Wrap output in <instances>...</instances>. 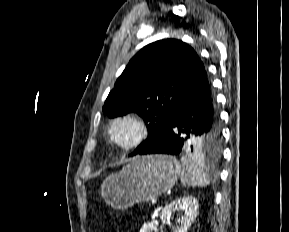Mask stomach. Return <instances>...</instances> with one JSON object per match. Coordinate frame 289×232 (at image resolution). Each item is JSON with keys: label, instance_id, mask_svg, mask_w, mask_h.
<instances>
[{"label": "stomach", "instance_id": "1", "mask_svg": "<svg viewBox=\"0 0 289 232\" xmlns=\"http://www.w3.org/2000/svg\"><path fill=\"white\" fill-rule=\"evenodd\" d=\"M180 173L178 161L167 155L138 156L101 186L105 202L115 209H127L148 202L170 190Z\"/></svg>", "mask_w": 289, "mask_h": 232}]
</instances>
